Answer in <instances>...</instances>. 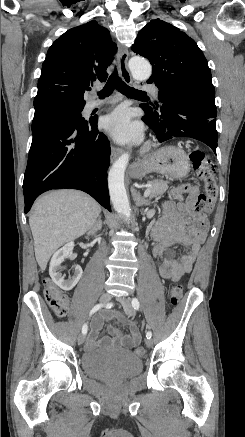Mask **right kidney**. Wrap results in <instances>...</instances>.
Here are the masks:
<instances>
[{
  "instance_id": "right-kidney-1",
  "label": "right kidney",
  "mask_w": 245,
  "mask_h": 437,
  "mask_svg": "<svg viewBox=\"0 0 245 437\" xmlns=\"http://www.w3.org/2000/svg\"><path fill=\"white\" fill-rule=\"evenodd\" d=\"M73 248L74 242H68L54 253L50 262L49 274L54 283L64 291L72 290L82 276V268L79 265L75 266L74 275L67 280H65L64 275L61 273V264L65 258L72 255Z\"/></svg>"
}]
</instances>
